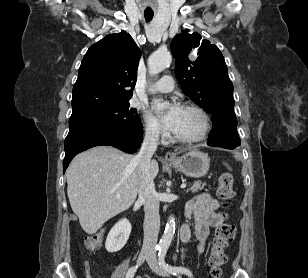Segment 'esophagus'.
Returning <instances> with one entry per match:
<instances>
[{"label": "esophagus", "mask_w": 308, "mask_h": 278, "mask_svg": "<svg viewBox=\"0 0 308 278\" xmlns=\"http://www.w3.org/2000/svg\"><path fill=\"white\" fill-rule=\"evenodd\" d=\"M165 159L167 161H172V160L175 159V155L172 152H167L166 155H165Z\"/></svg>", "instance_id": "1"}]
</instances>
